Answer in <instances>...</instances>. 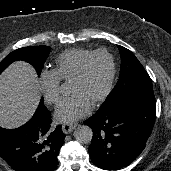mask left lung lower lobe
I'll list each match as a JSON object with an SVG mask.
<instances>
[{
	"instance_id": "left-lung-lower-lobe-1",
	"label": "left lung lower lobe",
	"mask_w": 171,
	"mask_h": 171,
	"mask_svg": "<svg viewBox=\"0 0 171 171\" xmlns=\"http://www.w3.org/2000/svg\"><path fill=\"white\" fill-rule=\"evenodd\" d=\"M155 112V100L131 99L86 120L93 130L89 146L92 162L104 170L128 166L145 148Z\"/></svg>"
}]
</instances>
